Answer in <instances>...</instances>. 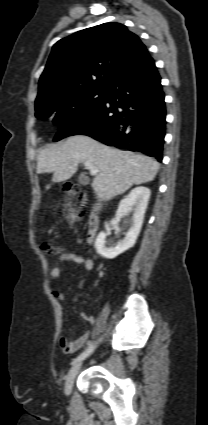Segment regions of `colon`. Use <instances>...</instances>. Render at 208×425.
I'll return each instance as SVG.
<instances>
[{"instance_id":"obj_1","label":"colon","mask_w":208,"mask_h":425,"mask_svg":"<svg viewBox=\"0 0 208 425\" xmlns=\"http://www.w3.org/2000/svg\"><path fill=\"white\" fill-rule=\"evenodd\" d=\"M62 190L70 196H78L80 198V204L70 209L68 213L69 220L71 222L81 219L83 215V204L85 201V194L81 191L80 187L73 183H65L62 186ZM44 253L48 256H56L59 253V248L51 243H44L42 245Z\"/></svg>"}]
</instances>
